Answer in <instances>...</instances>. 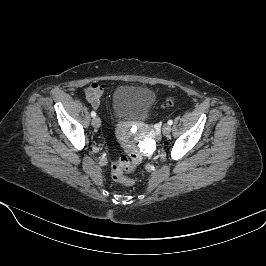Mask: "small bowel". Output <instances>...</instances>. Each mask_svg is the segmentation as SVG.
<instances>
[{
    "mask_svg": "<svg viewBox=\"0 0 266 266\" xmlns=\"http://www.w3.org/2000/svg\"><path fill=\"white\" fill-rule=\"evenodd\" d=\"M105 86L98 83H92L86 89V98L92 107L98 108L100 105L101 97L103 96Z\"/></svg>",
    "mask_w": 266,
    "mask_h": 266,
    "instance_id": "c3829d8e",
    "label": "small bowel"
}]
</instances>
